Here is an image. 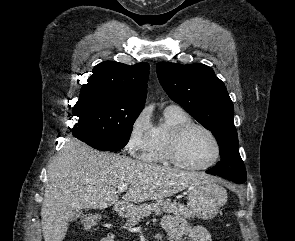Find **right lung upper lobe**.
Masks as SVG:
<instances>
[{
    "label": "right lung upper lobe",
    "mask_w": 295,
    "mask_h": 241,
    "mask_svg": "<svg viewBox=\"0 0 295 241\" xmlns=\"http://www.w3.org/2000/svg\"><path fill=\"white\" fill-rule=\"evenodd\" d=\"M92 72L87 83L81 88L80 98L89 92L101 91L144 107L149 77L148 63L129 66L105 61L96 65Z\"/></svg>",
    "instance_id": "obj_1"
}]
</instances>
